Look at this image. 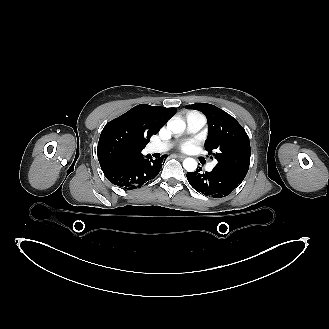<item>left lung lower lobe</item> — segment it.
<instances>
[{"label": "left lung lower lobe", "mask_w": 329, "mask_h": 329, "mask_svg": "<svg viewBox=\"0 0 329 329\" xmlns=\"http://www.w3.org/2000/svg\"><path fill=\"white\" fill-rule=\"evenodd\" d=\"M188 172L187 179L190 185L199 193L213 198H221L230 194L242 181L238 177L214 168L211 172Z\"/></svg>", "instance_id": "1"}]
</instances>
